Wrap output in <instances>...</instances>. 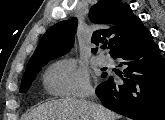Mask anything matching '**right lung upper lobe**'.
Returning a JSON list of instances; mask_svg holds the SVG:
<instances>
[{"mask_svg": "<svg viewBox=\"0 0 165 120\" xmlns=\"http://www.w3.org/2000/svg\"><path fill=\"white\" fill-rule=\"evenodd\" d=\"M89 19L95 26L91 42L108 43L114 56L121 49L133 44L149 31L136 17L129 5L120 0H99L89 11ZM77 19L58 22L50 27L39 42L29 64L54 59L69 52L74 44ZM93 53L97 48L92 49Z\"/></svg>", "mask_w": 165, "mask_h": 120, "instance_id": "1", "label": "right lung upper lobe"}]
</instances>
